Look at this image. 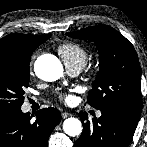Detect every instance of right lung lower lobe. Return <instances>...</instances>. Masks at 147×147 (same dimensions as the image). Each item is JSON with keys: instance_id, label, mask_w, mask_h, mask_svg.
Here are the masks:
<instances>
[{"instance_id": "1", "label": "right lung lower lobe", "mask_w": 147, "mask_h": 147, "mask_svg": "<svg viewBox=\"0 0 147 147\" xmlns=\"http://www.w3.org/2000/svg\"><path fill=\"white\" fill-rule=\"evenodd\" d=\"M33 115L20 109L0 112V147H47L48 138L61 120L56 108Z\"/></svg>"}]
</instances>
